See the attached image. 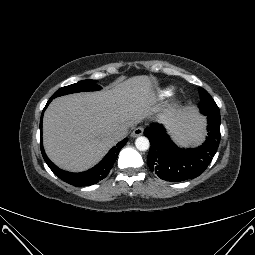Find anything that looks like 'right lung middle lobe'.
I'll use <instances>...</instances> for the list:
<instances>
[{
    "instance_id": "dd1d6c3e",
    "label": "right lung middle lobe",
    "mask_w": 255,
    "mask_h": 255,
    "mask_svg": "<svg viewBox=\"0 0 255 255\" xmlns=\"http://www.w3.org/2000/svg\"><path fill=\"white\" fill-rule=\"evenodd\" d=\"M101 87L96 84L95 80H82L75 84L65 86L57 90L50 99H54L56 97L75 93V92H82V91H96L100 90Z\"/></svg>"
}]
</instances>
